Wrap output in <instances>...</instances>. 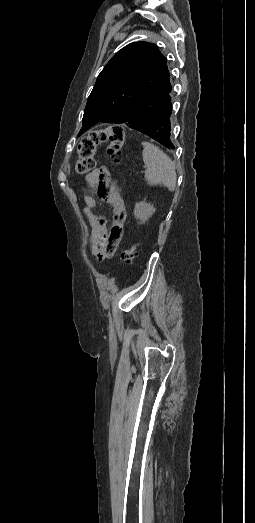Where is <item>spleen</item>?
Instances as JSON below:
<instances>
[{"label": "spleen", "instance_id": "obj_1", "mask_svg": "<svg viewBox=\"0 0 255 523\" xmlns=\"http://www.w3.org/2000/svg\"><path fill=\"white\" fill-rule=\"evenodd\" d=\"M143 162L146 164L145 178L148 184H164L170 192L176 188V172L169 156L154 144L142 142Z\"/></svg>", "mask_w": 255, "mask_h": 523}]
</instances>
